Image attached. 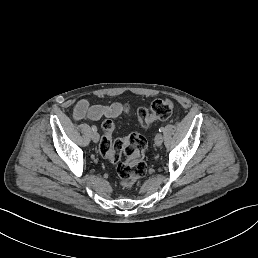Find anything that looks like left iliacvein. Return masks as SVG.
<instances>
[{
  "instance_id": "obj_1",
  "label": "left iliac vein",
  "mask_w": 258,
  "mask_h": 258,
  "mask_svg": "<svg viewBox=\"0 0 258 258\" xmlns=\"http://www.w3.org/2000/svg\"><path fill=\"white\" fill-rule=\"evenodd\" d=\"M154 140H155V146L156 147H161L162 146L163 137H162L161 133H156L155 137H154Z\"/></svg>"
}]
</instances>
